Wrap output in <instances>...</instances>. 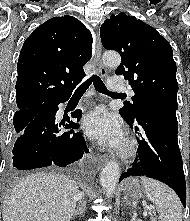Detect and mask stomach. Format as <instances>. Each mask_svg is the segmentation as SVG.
Instances as JSON below:
<instances>
[{
  "mask_svg": "<svg viewBox=\"0 0 190 221\" xmlns=\"http://www.w3.org/2000/svg\"><path fill=\"white\" fill-rule=\"evenodd\" d=\"M124 193L126 196L138 200L146 197V189L142 182L137 178H130L124 184Z\"/></svg>",
  "mask_w": 190,
  "mask_h": 221,
  "instance_id": "1",
  "label": "stomach"
}]
</instances>
